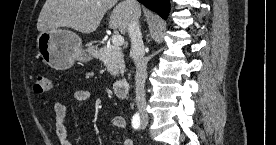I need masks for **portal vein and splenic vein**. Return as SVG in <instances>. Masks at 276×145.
<instances>
[{
    "instance_id": "18ae733b",
    "label": "portal vein and splenic vein",
    "mask_w": 276,
    "mask_h": 145,
    "mask_svg": "<svg viewBox=\"0 0 276 145\" xmlns=\"http://www.w3.org/2000/svg\"><path fill=\"white\" fill-rule=\"evenodd\" d=\"M111 41L114 46L119 47L123 45L124 38L121 35H113Z\"/></svg>"
}]
</instances>
